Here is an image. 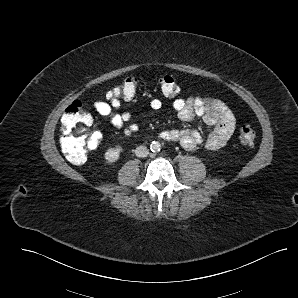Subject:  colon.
<instances>
[{"label":"colon","mask_w":298,"mask_h":298,"mask_svg":"<svg viewBox=\"0 0 298 298\" xmlns=\"http://www.w3.org/2000/svg\"><path fill=\"white\" fill-rule=\"evenodd\" d=\"M138 77L130 75L110 90L108 95L118 99H131L136 94ZM162 94L174 98L180 87L171 75H162L159 79ZM92 118L78 100L71 103L64 111L60 123V146L68 160L76 165L86 162L89 152L100 144L101 136L91 129ZM256 138L255 131L244 125L239 131V142L244 147H252Z\"/></svg>","instance_id":"obj_1"}]
</instances>
